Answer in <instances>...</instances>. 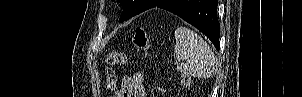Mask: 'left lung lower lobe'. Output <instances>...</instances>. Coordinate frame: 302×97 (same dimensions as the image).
<instances>
[{
  "label": "left lung lower lobe",
  "mask_w": 302,
  "mask_h": 97,
  "mask_svg": "<svg viewBox=\"0 0 302 97\" xmlns=\"http://www.w3.org/2000/svg\"><path fill=\"white\" fill-rule=\"evenodd\" d=\"M168 10L204 33L219 50L217 0H155L150 8Z\"/></svg>",
  "instance_id": "obj_1"
}]
</instances>
